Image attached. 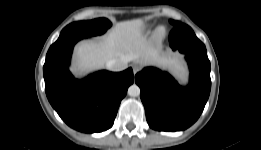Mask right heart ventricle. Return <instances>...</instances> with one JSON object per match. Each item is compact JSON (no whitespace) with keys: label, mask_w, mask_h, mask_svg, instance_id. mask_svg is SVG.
I'll use <instances>...</instances> for the list:
<instances>
[{"label":"right heart ventricle","mask_w":261,"mask_h":150,"mask_svg":"<svg viewBox=\"0 0 261 150\" xmlns=\"http://www.w3.org/2000/svg\"><path fill=\"white\" fill-rule=\"evenodd\" d=\"M150 27H151V24H147V25H145V26L143 27V30H148V29H150Z\"/></svg>","instance_id":"obj_1"}]
</instances>
